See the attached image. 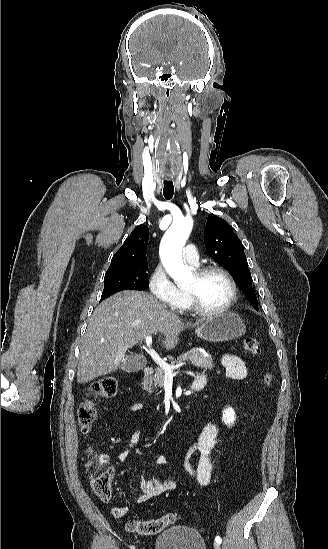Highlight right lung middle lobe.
<instances>
[{"mask_svg":"<svg viewBox=\"0 0 328 549\" xmlns=\"http://www.w3.org/2000/svg\"><path fill=\"white\" fill-rule=\"evenodd\" d=\"M147 261L130 263L106 272L101 300L121 290H144L149 287Z\"/></svg>","mask_w":328,"mask_h":549,"instance_id":"dd1d6c3e","label":"right lung middle lobe"}]
</instances>
